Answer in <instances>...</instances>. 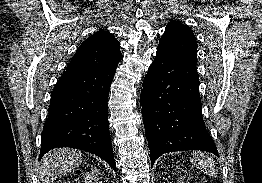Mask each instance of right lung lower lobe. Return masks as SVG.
Wrapping results in <instances>:
<instances>
[{
	"mask_svg": "<svg viewBox=\"0 0 262 183\" xmlns=\"http://www.w3.org/2000/svg\"><path fill=\"white\" fill-rule=\"evenodd\" d=\"M116 68L62 74L51 93L40 159L53 148L71 147L99 156L116 171L107 106Z\"/></svg>",
	"mask_w": 262,
	"mask_h": 183,
	"instance_id": "98d812e1",
	"label": "right lung lower lobe"
}]
</instances>
